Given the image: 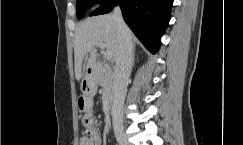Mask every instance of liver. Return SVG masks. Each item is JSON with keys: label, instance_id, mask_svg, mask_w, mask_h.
Returning a JSON list of instances; mask_svg holds the SVG:
<instances>
[{"label": "liver", "instance_id": "6515ba94", "mask_svg": "<svg viewBox=\"0 0 243 145\" xmlns=\"http://www.w3.org/2000/svg\"><path fill=\"white\" fill-rule=\"evenodd\" d=\"M129 32L132 39V33L130 30ZM97 42L104 43L107 51L116 60L120 41L113 14L87 18L78 24L74 35L75 78L77 81L82 78L85 55H89L87 68H96Z\"/></svg>", "mask_w": 243, "mask_h": 145}]
</instances>
